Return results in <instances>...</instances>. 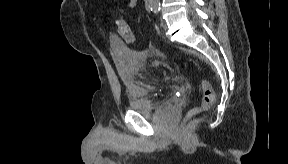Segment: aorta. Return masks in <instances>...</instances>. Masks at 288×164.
I'll return each mask as SVG.
<instances>
[{"mask_svg":"<svg viewBox=\"0 0 288 164\" xmlns=\"http://www.w3.org/2000/svg\"><path fill=\"white\" fill-rule=\"evenodd\" d=\"M149 6L150 8H153V10H158L160 2L159 0H149Z\"/></svg>","mask_w":288,"mask_h":164,"instance_id":"obj_1","label":"aorta"}]
</instances>
